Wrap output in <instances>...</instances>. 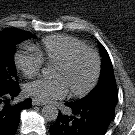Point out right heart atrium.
I'll use <instances>...</instances> for the list:
<instances>
[{
	"instance_id": "1",
	"label": "right heart atrium",
	"mask_w": 135,
	"mask_h": 135,
	"mask_svg": "<svg viewBox=\"0 0 135 135\" xmlns=\"http://www.w3.org/2000/svg\"><path fill=\"white\" fill-rule=\"evenodd\" d=\"M14 61L17 69L27 78L37 75L43 65L42 58L35 50L18 51L14 56Z\"/></svg>"
}]
</instances>
